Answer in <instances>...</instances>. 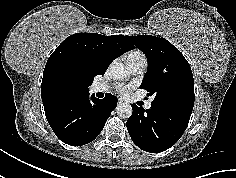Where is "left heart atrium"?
<instances>
[{
    "instance_id": "39dd6f15",
    "label": "left heart atrium",
    "mask_w": 236,
    "mask_h": 178,
    "mask_svg": "<svg viewBox=\"0 0 236 178\" xmlns=\"http://www.w3.org/2000/svg\"><path fill=\"white\" fill-rule=\"evenodd\" d=\"M131 87L130 86H127V85H124V84H118L116 86V91L120 94V95H126L129 91Z\"/></svg>"
}]
</instances>
